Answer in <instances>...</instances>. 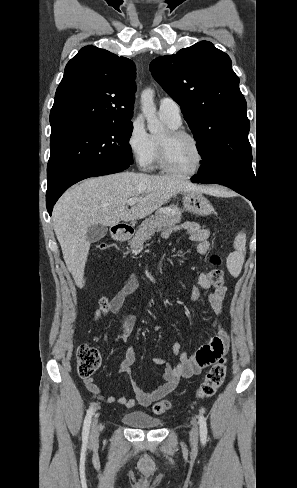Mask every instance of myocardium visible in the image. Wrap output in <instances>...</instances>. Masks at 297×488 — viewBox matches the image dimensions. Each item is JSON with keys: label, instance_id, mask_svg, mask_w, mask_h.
Listing matches in <instances>:
<instances>
[{"label": "myocardium", "instance_id": "1", "mask_svg": "<svg viewBox=\"0 0 297 488\" xmlns=\"http://www.w3.org/2000/svg\"><path fill=\"white\" fill-rule=\"evenodd\" d=\"M179 138H186L192 141L198 153V159L195 167L188 172H180L174 169L169 163L168 142ZM204 160H205V154L200 141L188 131L177 129V128L171 129L168 132L167 141H161V140L158 141V164L163 171H165L170 175L182 177V178L192 177L201 170L204 164Z\"/></svg>", "mask_w": 297, "mask_h": 488}]
</instances>
